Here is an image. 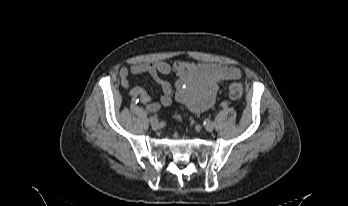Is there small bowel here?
Here are the masks:
<instances>
[{
  "label": "small bowel",
  "mask_w": 348,
  "mask_h": 206,
  "mask_svg": "<svg viewBox=\"0 0 348 206\" xmlns=\"http://www.w3.org/2000/svg\"><path fill=\"white\" fill-rule=\"evenodd\" d=\"M171 73L177 76L174 85L163 79ZM130 74L152 77L161 88L159 102H153L144 88L131 87ZM240 77L241 72L233 66L192 62L136 63L119 71L121 86L128 91L134 103L140 102L151 113L159 111L162 106H169L173 100L190 111L203 112L214 104L220 83Z\"/></svg>",
  "instance_id": "1"
}]
</instances>
